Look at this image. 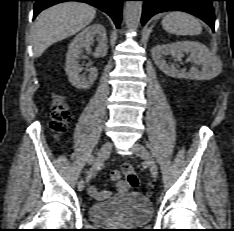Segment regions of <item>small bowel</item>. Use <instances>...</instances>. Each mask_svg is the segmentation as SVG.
Masks as SVG:
<instances>
[{
	"label": "small bowel",
	"mask_w": 234,
	"mask_h": 231,
	"mask_svg": "<svg viewBox=\"0 0 234 231\" xmlns=\"http://www.w3.org/2000/svg\"><path fill=\"white\" fill-rule=\"evenodd\" d=\"M129 190V185L125 181H118L116 184V191L119 193H126ZM88 193L91 197L96 200H103L110 195L109 191L99 192L96 186L91 185L88 187Z\"/></svg>",
	"instance_id": "c3829d8e"
}]
</instances>
